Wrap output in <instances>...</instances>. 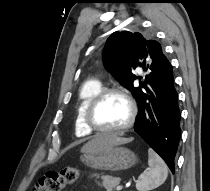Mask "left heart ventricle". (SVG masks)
Masks as SVG:
<instances>
[{
  "label": "left heart ventricle",
  "mask_w": 210,
  "mask_h": 191,
  "mask_svg": "<svg viewBox=\"0 0 210 191\" xmlns=\"http://www.w3.org/2000/svg\"><path fill=\"white\" fill-rule=\"evenodd\" d=\"M94 118L103 128L121 127L129 118L128 104L119 95H108L97 106Z\"/></svg>",
  "instance_id": "left-heart-ventricle-1"
}]
</instances>
